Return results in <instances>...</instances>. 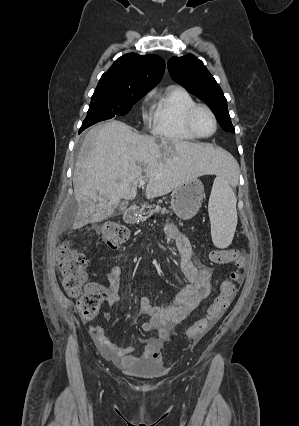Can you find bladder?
<instances>
[{
  "label": "bladder",
  "mask_w": 299,
  "mask_h": 426,
  "mask_svg": "<svg viewBox=\"0 0 299 426\" xmlns=\"http://www.w3.org/2000/svg\"><path fill=\"white\" fill-rule=\"evenodd\" d=\"M127 374L140 379H156L164 375L165 369L158 364L142 363L125 368Z\"/></svg>",
  "instance_id": "31cf9c89"
}]
</instances>
